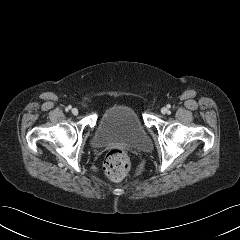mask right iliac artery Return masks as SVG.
<instances>
[{
    "mask_svg": "<svg viewBox=\"0 0 240 240\" xmlns=\"http://www.w3.org/2000/svg\"><path fill=\"white\" fill-rule=\"evenodd\" d=\"M72 107L69 105L66 107V111H69Z\"/></svg>",
    "mask_w": 240,
    "mask_h": 240,
    "instance_id": "1",
    "label": "right iliac artery"
}]
</instances>
